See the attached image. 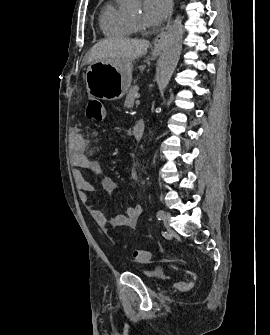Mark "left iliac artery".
Returning <instances> with one entry per match:
<instances>
[{"label": "left iliac artery", "instance_id": "1", "mask_svg": "<svg viewBox=\"0 0 270 335\" xmlns=\"http://www.w3.org/2000/svg\"><path fill=\"white\" fill-rule=\"evenodd\" d=\"M163 215H164V211L163 210H159L158 212H157V218L160 220L162 217H163Z\"/></svg>", "mask_w": 270, "mask_h": 335}]
</instances>
